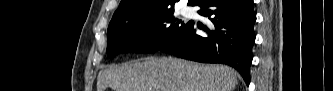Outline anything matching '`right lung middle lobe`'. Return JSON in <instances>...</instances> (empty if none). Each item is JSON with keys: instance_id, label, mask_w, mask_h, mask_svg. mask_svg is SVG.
<instances>
[{"instance_id": "dd1d6c3e", "label": "right lung middle lobe", "mask_w": 333, "mask_h": 91, "mask_svg": "<svg viewBox=\"0 0 333 91\" xmlns=\"http://www.w3.org/2000/svg\"><path fill=\"white\" fill-rule=\"evenodd\" d=\"M174 10L158 12L127 21L111 22L107 31V54L152 53L172 41L186 22L176 18Z\"/></svg>"}]
</instances>
